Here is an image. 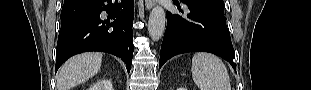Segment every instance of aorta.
<instances>
[{"mask_svg": "<svg viewBox=\"0 0 311 90\" xmlns=\"http://www.w3.org/2000/svg\"><path fill=\"white\" fill-rule=\"evenodd\" d=\"M166 14L161 6H155L149 16L148 32L153 41L162 38L165 31Z\"/></svg>", "mask_w": 311, "mask_h": 90, "instance_id": "1", "label": "aorta"}]
</instances>
